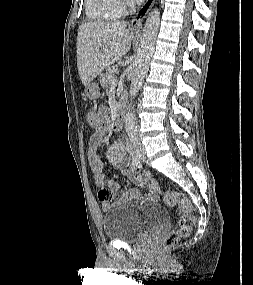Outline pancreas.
Returning a JSON list of instances; mask_svg holds the SVG:
<instances>
[{
  "instance_id": "obj_1",
  "label": "pancreas",
  "mask_w": 253,
  "mask_h": 285,
  "mask_svg": "<svg viewBox=\"0 0 253 285\" xmlns=\"http://www.w3.org/2000/svg\"><path fill=\"white\" fill-rule=\"evenodd\" d=\"M118 73L117 66H110L106 68L105 73L101 76L100 84L103 88H107L109 85L110 79L116 76Z\"/></svg>"
}]
</instances>
